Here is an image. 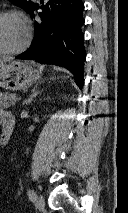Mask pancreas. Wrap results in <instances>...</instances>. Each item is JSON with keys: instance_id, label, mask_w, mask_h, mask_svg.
<instances>
[{"instance_id": "obj_1", "label": "pancreas", "mask_w": 128, "mask_h": 213, "mask_svg": "<svg viewBox=\"0 0 128 213\" xmlns=\"http://www.w3.org/2000/svg\"><path fill=\"white\" fill-rule=\"evenodd\" d=\"M17 99L16 94L0 92V108H7L15 105Z\"/></svg>"}]
</instances>
